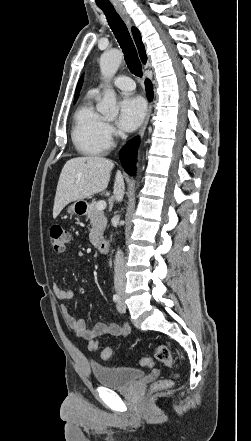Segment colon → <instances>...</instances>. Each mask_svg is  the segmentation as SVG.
<instances>
[{
  "mask_svg": "<svg viewBox=\"0 0 251 441\" xmlns=\"http://www.w3.org/2000/svg\"><path fill=\"white\" fill-rule=\"evenodd\" d=\"M49 238L54 250L57 252H61L66 248L67 244L69 243L71 234L62 226L56 225L50 229ZM99 348H100V344L98 341L94 340L89 343L90 351H97ZM101 357L104 360H110L112 358V352L109 349L105 348L101 352ZM154 357L157 361L163 363L168 368L175 367L174 358L172 357L168 347L165 345H157L155 347ZM140 364L142 366L150 367L153 365V360L151 358H142L140 359ZM177 376H178L177 374H173L168 378H163L156 381L152 385V389L155 391H160L172 387L175 383Z\"/></svg>",
  "mask_w": 251,
  "mask_h": 441,
  "instance_id": "obj_1",
  "label": "colon"
}]
</instances>
